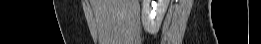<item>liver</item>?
<instances>
[{
    "mask_svg": "<svg viewBox=\"0 0 261 44\" xmlns=\"http://www.w3.org/2000/svg\"><path fill=\"white\" fill-rule=\"evenodd\" d=\"M98 27L99 44L139 41L138 0H90Z\"/></svg>",
    "mask_w": 261,
    "mask_h": 44,
    "instance_id": "obj_1",
    "label": "liver"
}]
</instances>
